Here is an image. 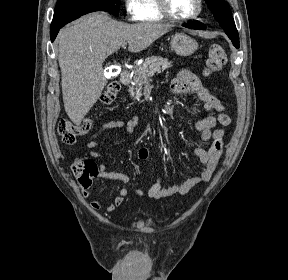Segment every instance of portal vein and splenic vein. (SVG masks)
<instances>
[{
	"label": "portal vein and splenic vein",
	"mask_w": 288,
	"mask_h": 280,
	"mask_svg": "<svg viewBox=\"0 0 288 280\" xmlns=\"http://www.w3.org/2000/svg\"><path fill=\"white\" fill-rule=\"evenodd\" d=\"M126 45H127V43H123V44H122V47H123V48H125V47H126Z\"/></svg>",
	"instance_id": "1"
}]
</instances>
